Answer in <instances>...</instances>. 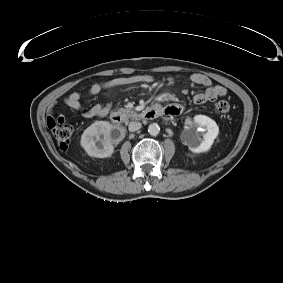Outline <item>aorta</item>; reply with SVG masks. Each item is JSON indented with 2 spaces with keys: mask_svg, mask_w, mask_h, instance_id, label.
Instances as JSON below:
<instances>
[{
  "mask_svg": "<svg viewBox=\"0 0 283 283\" xmlns=\"http://www.w3.org/2000/svg\"><path fill=\"white\" fill-rule=\"evenodd\" d=\"M148 132L151 136H157L160 132V127L157 123H152L148 127Z\"/></svg>",
  "mask_w": 283,
  "mask_h": 283,
  "instance_id": "762f6f07",
  "label": "aorta"
}]
</instances>
